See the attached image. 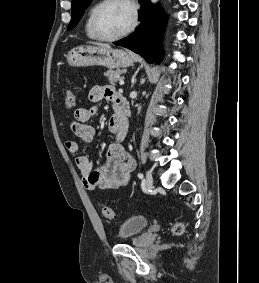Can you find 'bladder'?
I'll list each match as a JSON object with an SVG mask.
<instances>
[{
    "mask_svg": "<svg viewBox=\"0 0 259 283\" xmlns=\"http://www.w3.org/2000/svg\"><path fill=\"white\" fill-rule=\"evenodd\" d=\"M149 225V219L143 216H133L125 220L118 229V239L127 240L130 239Z\"/></svg>",
    "mask_w": 259,
    "mask_h": 283,
    "instance_id": "obj_1",
    "label": "bladder"
}]
</instances>
